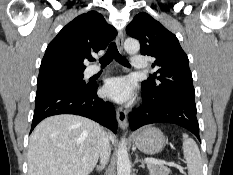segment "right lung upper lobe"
Here are the masks:
<instances>
[{"label": "right lung upper lobe", "instance_id": "1", "mask_svg": "<svg viewBox=\"0 0 233 175\" xmlns=\"http://www.w3.org/2000/svg\"><path fill=\"white\" fill-rule=\"evenodd\" d=\"M116 34V29L96 11L76 17L48 45L38 78L82 73L86 68L84 59L93 51L105 49Z\"/></svg>", "mask_w": 233, "mask_h": 175}]
</instances>
